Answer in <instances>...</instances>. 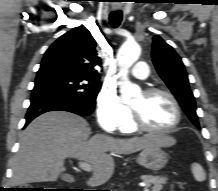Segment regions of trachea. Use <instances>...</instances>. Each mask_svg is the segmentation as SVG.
Masks as SVG:
<instances>
[{
  "mask_svg": "<svg viewBox=\"0 0 218 191\" xmlns=\"http://www.w3.org/2000/svg\"><path fill=\"white\" fill-rule=\"evenodd\" d=\"M110 24L113 28H117L122 21V11H113L109 15Z\"/></svg>",
  "mask_w": 218,
  "mask_h": 191,
  "instance_id": "obj_1",
  "label": "trachea"
}]
</instances>
